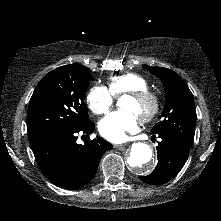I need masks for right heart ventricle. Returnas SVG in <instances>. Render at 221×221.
Returning <instances> with one entry per match:
<instances>
[{"label": "right heart ventricle", "mask_w": 221, "mask_h": 221, "mask_svg": "<svg viewBox=\"0 0 221 221\" xmlns=\"http://www.w3.org/2000/svg\"><path fill=\"white\" fill-rule=\"evenodd\" d=\"M108 90L114 97L124 93L149 89L147 80L137 73L112 76L107 81Z\"/></svg>", "instance_id": "right-heart-ventricle-1"}]
</instances>
